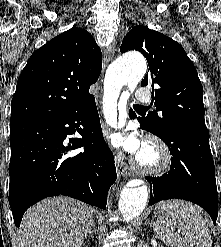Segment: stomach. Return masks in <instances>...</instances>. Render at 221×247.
Wrapping results in <instances>:
<instances>
[{
	"label": "stomach",
	"instance_id": "stomach-1",
	"mask_svg": "<svg viewBox=\"0 0 221 247\" xmlns=\"http://www.w3.org/2000/svg\"><path fill=\"white\" fill-rule=\"evenodd\" d=\"M169 202H179V201H166V202H162V203H159L156 207H155V215L159 218H164L167 214V210L164 208L165 204L166 203H169Z\"/></svg>",
	"mask_w": 221,
	"mask_h": 247
}]
</instances>
